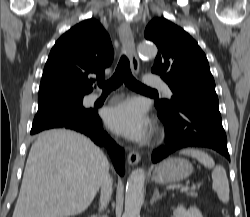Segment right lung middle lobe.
<instances>
[{"mask_svg": "<svg viewBox=\"0 0 250 217\" xmlns=\"http://www.w3.org/2000/svg\"><path fill=\"white\" fill-rule=\"evenodd\" d=\"M82 100L83 98L60 101L39 107L32 124L31 134L63 125L89 122L93 117V110L85 109L82 106Z\"/></svg>", "mask_w": 250, "mask_h": 217, "instance_id": "1", "label": "right lung middle lobe"}]
</instances>
